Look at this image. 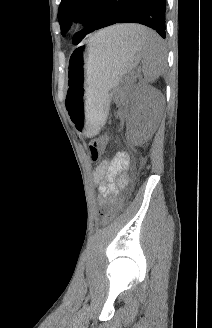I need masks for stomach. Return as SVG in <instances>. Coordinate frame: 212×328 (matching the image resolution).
I'll use <instances>...</instances> for the list:
<instances>
[{
  "instance_id": "0dacf381",
  "label": "stomach",
  "mask_w": 212,
  "mask_h": 328,
  "mask_svg": "<svg viewBox=\"0 0 212 328\" xmlns=\"http://www.w3.org/2000/svg\"><path fill=\"white\" fill-rule=\"evenodd\" d=\"M141 57L136 40L90 39L75 49L68 63L66 108L79 133L97 134L106 119L110 91Z\"/></svg>"
}]
</instances>
